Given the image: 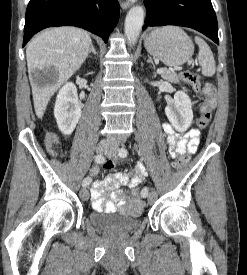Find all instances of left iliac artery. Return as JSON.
Segmentation results:
<instances>
[{"label":"left iliac artery","instance_id":"44dca946","mask_svg":"<svg viewBox=\"0 0 247 275\" xmlns=\"http://www.w3.org/2000/svg\"><path fill=\"white\" fill-rule=\"evenodd\" d=\"M118 154H119V156L120 157H127V155H128V150L127 149H125V148H121V149H119V151H118ZM145 190H146V193L148 194V188H144ZM143 191V190H142Z\"/></svg>","mask_w":247,"mask_h":275}]
</instances>
